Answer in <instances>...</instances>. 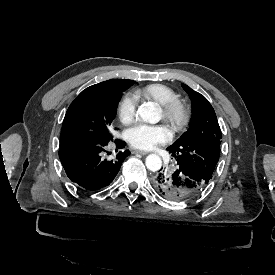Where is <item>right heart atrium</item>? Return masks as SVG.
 Masks as SVG:
<instances>
[{"label": "right heart atrium", "instance_id": "obj_1", "mask_svg": "<svg viewBox=\"0 0 275 275\" xmlns=\"http://www.w3.org/2000/svg\"><path fill=\"white\" fill-rule=\"evenodd\" d=\"M138 99L132 94H125L118 105L119 119L123 124H130L134 121Z\"/></svg>", "mask_w": 275, "mask_h": 275}]
</instances>
